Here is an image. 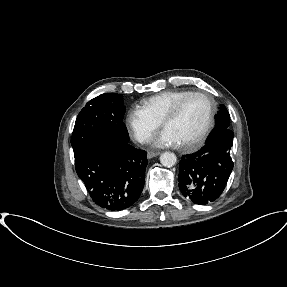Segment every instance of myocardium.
Masks as SVG:
<instances>
[{"label":"myocardium","mask_w":287,"mask_h":287,"mask_svg":"<svg viewBox=\"0 0 287 287\" xmlns=\"http://www.w3.org/2000/svg\"><path fill=\"white\" fill-rule=\"evenodd\" d=\"M192 97H201L203 98L208 106V114H207V120L205 123V126L201 133L194 139L180 143L181 146L193 149L200 146L206 138L209 136L210 132L212 131L214 127V118H215V112L216 107L212 100V98L203 92H190L189 94L185 95L184 97L180 98L171 108L170 110L164 115V117L161 120V126L164 127V124L172 119H174L180 112L183 105Z\"/></svg>","instance_id":"obj_1"}]
</instances>
